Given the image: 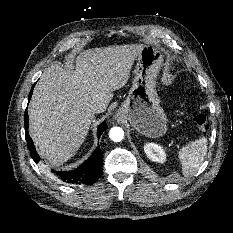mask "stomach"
Here are the masks:
<instances>
[{"label":"stomach","mask_w":233,"mask_h":233,"mask_svg":"<svg viewBox=\"0 0 233 233\" xmlns=\"http://www.w3.org/2000/svg\"><path fill=\"white\" fill-rule=\"evenodd\" d=\"M136 60L132 87L117 117L129 121L140 134L159 138L167 131V117L155 89L163 54L155 46L144 45Z\"/></svg>","instance_id":"1"}]
</instances>
